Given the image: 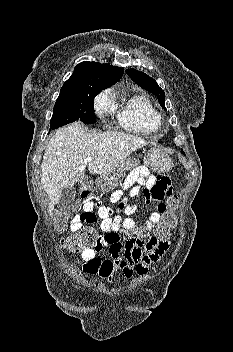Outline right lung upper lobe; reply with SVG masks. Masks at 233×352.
I'll return each mask as SVG.
<instances>
[{
	"label": "right lung upper lobe",
	"instance_id": "cb5924a9",
	"mask_svg": "<svg viewBox=\"0 0 233 352\" xmlns=\"http://www.w3.org/2000/svg\"><path fill=\"white\" fill-rule=\"evenodd\" d=\"M123 69L110 64L82 62L76 65L72 76L63 84L60 94H69L86 86L108 88L120 80Z\"/></svg>",
	"mask_w": 233,
	"mask_h": 352
}]
</instances>
